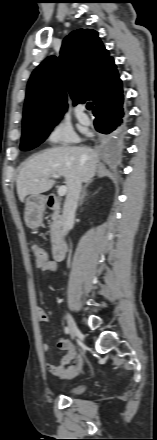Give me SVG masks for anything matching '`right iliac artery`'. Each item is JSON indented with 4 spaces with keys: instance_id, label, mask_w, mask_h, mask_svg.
<instances>
[{
    "instance_id": "82829eb1",
    "label": "right iliac artery",
    "mask_w": 157,
    "mask_h": 440,
    "mask_svg": "<svg viewBox=\"0 0 157 440\" xmlns=\"http://www.w3.org/2000/svg\"><path fill=\"white\" fill-rule=\"evenodd\" d=\"M64 331H65V333H66V334H69V333H70V330H69V328H68V327H66V326L64 327Z\"/></svg>"
}]
</instances>
